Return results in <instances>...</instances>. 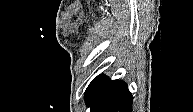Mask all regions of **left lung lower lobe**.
<instances>
[{
    "label": "left lung lower lobe",
    "instance_id": "0a47b994",
    "mask_svg": "<svg viewBox=\"0 0 193 112\" xmlns=\"http://www.w3.org/2000/svg\"><path fill=\"white\" fill-rule=\"evenodd\" d=\"M91 112H132V95L124 81L99 75L85 91Z\"/></svg>",
    "mask_w": 193,
    "mask_h": 112
}]
</instances>
